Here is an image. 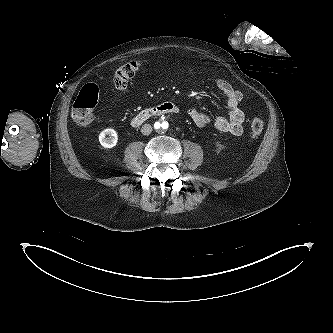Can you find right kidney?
Returning <instances> with one entry per match:
<instances>
[{
  "label": "right kidney",
  "instance_id": "1",
  "mask_svg": "<svg viewBox=\"0 0 333 333\" xmlns=\"http://www.w3.org/2000/svg\"><path fill=\"white\" fill-rule=\"evenodd\" d=\"M118 141V134L114 129L108 128L99 134V142L104 148H113Z\"/></svg>",
  "mask_w": 333,
  "mask_h": 333
}]
</instances>
